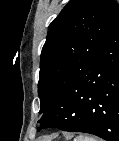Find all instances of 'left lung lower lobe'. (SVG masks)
I'll return each mask as SVG.
<instances>
[{
    "label": "left lung lower lobe",
    "mask_w": 119,
    "mask_h": 141,
    "mask_svg": "<svg viewBox=\"0 0 119 141\" xmlns=\"http://www.w3.org/2000/svg\"><path fill=\"white\" fill-rule=\"evenodd\" d=\"M40 126L119 141V15L84 71L43 113Z\"/></svg>",
    "instance_id": "1"
}]
</instances>
